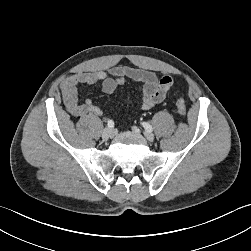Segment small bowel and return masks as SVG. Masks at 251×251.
Instances as JSON below:
<instances>
[{
	"label": "small bowel",
	"instance_id": "small-bowel-1",
	"mask_svg": "<svg viewBox=\"0 0 251 251\" xmlns=\"http://www.w3.org/2000/svg\"><path fill=\"white\" fill-rule=\"evenodd\" d=\"M126 79L139 84L141 94L139 106L142 110H150L160 103L173 84L170 76L158 78L149 70L134 68L125 65L113 66L107 71L79 72L68 76L61 83L64 104L67 110L76 117L87 115L101 116L102 110L90 99L80 102L78 98L79 85H94L101 83L102 90L106 94H112Z\"/></svg>",
	"mask_w": 251,
	"mask_h": 251
}]
</instances>
